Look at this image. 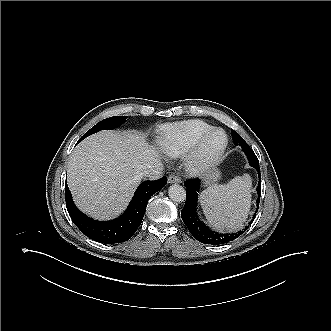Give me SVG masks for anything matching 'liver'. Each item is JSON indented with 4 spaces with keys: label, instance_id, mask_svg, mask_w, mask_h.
Returning <instances> with one entry per match:
<instances>
[{
    "label": "liver",
    "instance_id": "obj_1",
    "mask_svg": "<svg viewBox=\"0 0 331 331\" xmlns=\"http://www.w3.org/2000/svg\"><path fill=\"white\" fill-rule=\"evenodd\" d=\"M162 149L134 131H101L84 139L72 152L67 170L75 204L98 220L117 217L129 204L142 173L161 164Z\"/></svg>",
    "mask_w": 331,
    "mask_h": 331
}]
</instances>
